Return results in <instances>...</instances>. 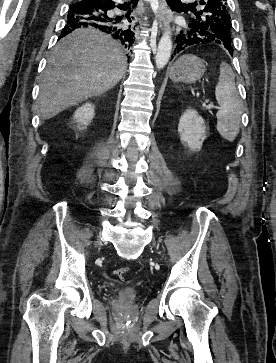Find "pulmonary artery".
<instances>
[{
    "instance_id": "pulmonary-artery-1",
    "label": "pulmonary artery",
    "mask_w": 276,
    "mask_h": 363,
    "mask_svg": "<svg viewBox=\"0 0 276 363\" xmlns=\"http://www.w3.org/2000/svg\"><path fill=\"white\" fill-rule=\"evenodd\" d=\"M185 2H193L194 0H183Z\"/></svg>"
}]
</instances>
